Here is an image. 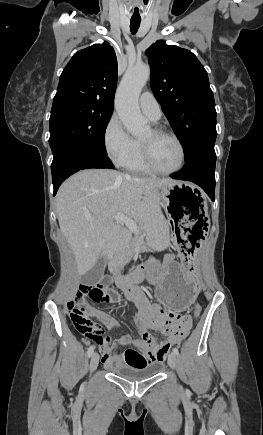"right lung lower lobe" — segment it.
I'll return each mask as SVG.
<instances>
[{
	"label": "right lung lower lobe",
	"mask_w": 263,
	"mask_h": 435,
	"mask_svg": "<svg viewBox=\"0 0 263 435\" xmlns=\"http://www.w3.org/2000/svg\"><path fill=\"white\" fill-rule=\"evenodd\" d=\"M88 168H114V166L107 154L79 147L63 149L59 156L53 159L51 165L54 195L65 179L81 169Z\"/></svg>",
	"instance_id": "obj_1"
}]
</instances>
